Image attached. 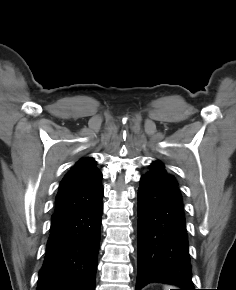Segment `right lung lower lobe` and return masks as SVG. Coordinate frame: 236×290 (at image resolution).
<instances>
[{
    "instance_id": "right-lung-lower-lobe-1",
    "label": "right lung lower lobe",
    "mask_w": 236,
    "mask_h": 290,
    "mask_svg": "<svg viewBox=\"0 0 236 290\" xmlns=\"http://www.w3.org/2000/svg\"><path fill=\"white\" fill-rule=\"evenodd\" d=\"M102 197L52 219L37 290H95Z\"/></svg>"
}]
</instances>
